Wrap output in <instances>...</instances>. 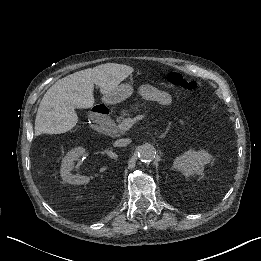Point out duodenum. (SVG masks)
I'll return each mask as SVG.
<instances>
[{"mask_svg":"<svg viewBox=\"0 0 261 261\" xmlns=\"http://www.w3.org/2000/svg\"><path fill=\"white\" fill-rule=\"evenodd\" d=\"M91 117L96 122H103L108 117V110L103 105H96L91 110Z\"/></svg>","mask_w":261,"mask_h":261,"instance_id":"1","label":"duodenum"}]
</instances>
